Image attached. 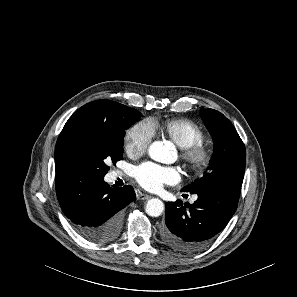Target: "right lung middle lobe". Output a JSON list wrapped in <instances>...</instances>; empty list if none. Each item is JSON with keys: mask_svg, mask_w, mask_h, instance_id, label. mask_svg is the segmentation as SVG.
Listing matches in <instances>:
<instances>
[{"mask_svg": "<svg viewBox=\"0 0 297 297\" xmlns=\"http://www.w3.org/2000/svg\"><path fill=\"white\" fill-rule=\"evenodd\" d=\"M121 125L115 130L79 127L68 137L63 158L67 170H80L104 177L108 163L122 159L125 130L142 116L139 111L120 105Z\"/></svg>", "mask_w": 297, "mask_h": 297, "instance_id": "dd1d6c3e", "label": "right lung middle lobe"}]
</instances>
